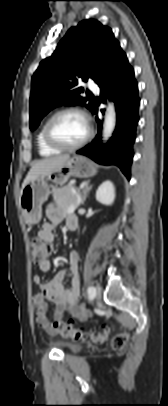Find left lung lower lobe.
I'll list each match as a JSON object with an SVG mask.
<instances>
[{"label": "left lung lower lobe", "instance_id": "0a47b994", "mask_svg": "<svg viewBox=\"0 0 168 406\" xmlns=\"http://www.w3.org/2000/svg\"><path fill=\"white\" fill-rule=\"evenodd\" d=\"M98 85L101 90V97H109L116 104V129L111 140L105 146L102 145L100 140L102 122L96 117L99 126L98 135L90 144L78 150L77 154L88 156L100 164H115L130 179L132 147L139 120L140 100L133 68L129 65L123 51L114 58ZM101 111L104 113V110ZM97 112L98 108L95 105L92 113L96 114Z\"/></svg>", "mask_w": 168, "mask_h": 406}]
</instances>
